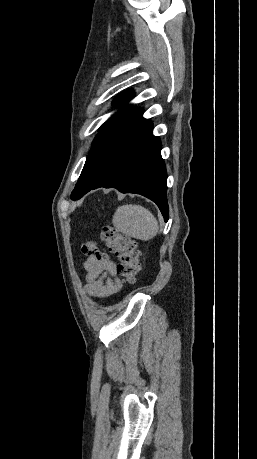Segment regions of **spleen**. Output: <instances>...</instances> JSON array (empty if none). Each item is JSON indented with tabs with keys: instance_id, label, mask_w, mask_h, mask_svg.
I'll return each mask as SVG.
<instances>
[{
	"instance_id": "spleen-1",
	"label": "spleen",
	"mask_w": 257,
	"mask_h": 459,
	"mask_svg": "<svg viewBox=\"0 0 257 459\" xmlns=\"http://www.w3.org/2000/svg\"><path fill=\"white\" fill-rule=\"evenodd\" d=\"M113 225L122 234L147 241L158 232V221L146 208L137 204H126L117 208Z\"/></svg>"
}]
</instances>
